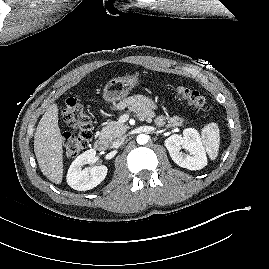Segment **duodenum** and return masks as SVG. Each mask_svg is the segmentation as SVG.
<instances>
[{"label":"duodenum","mask_w":269,"mask_h":269,"mask_svg":"<svg viewBox=\"0 0 269 269\" xmlns=\"http://www.w3.org/2000/svg\"><path fill=\"white\" fill-rule=\"evenodd\" d=\"M94 148L97 151H106L108 148V141L105 137H98L94 141Z\"/></svg>","instance_id":"410a0bca"}]
</instances>
